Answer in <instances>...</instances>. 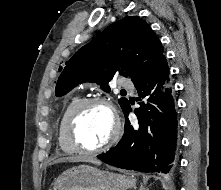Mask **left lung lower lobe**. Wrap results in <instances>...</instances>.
<instances>
[{"mask_svg":"<svg viewBox=\"0 0 221 190\" xmlns=\"http://www.w3.org/2000/svg\"><path fill=\"white\" fill-rule=\"evenodd\" d=\"M138 100V124L128 119L130 104L123 111L126 123L120 142L97 156L121 169L140 172L172 173L177 165L179 147L177 112L165 56L141 79L134 82Z\"/></svg>","mask_w":221,"mask_h":190,"instance_id":"1","label":"left lung lower lobe"}]
</instances>
